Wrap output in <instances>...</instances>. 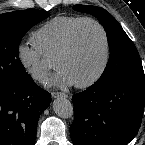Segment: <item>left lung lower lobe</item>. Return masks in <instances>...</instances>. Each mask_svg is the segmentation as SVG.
Here are the masks:
<instances>
[{
    "label": "left lung lower lobe",
    "mask_w": 145,
    "mask_h": 145,
    "mask_svg": "<svg viewBox=\"0 0 145 145\" xmlns=\"http://www.w3.org/2000/svg\"><path fill=\"white\" fill-rule=\"evenodd\" d=\"M145 102V77L90 86L73 96L74 145H127L137 134Z\"/></svg>",
    "instance_id": "0a47b994"
}]
</instances>
